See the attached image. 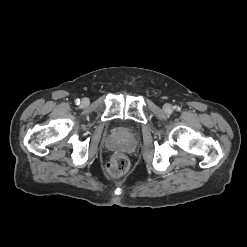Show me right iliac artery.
<instances>
[{
  "label": "right iliac artery",
  "instance_id": "1",
  "mask_svg": "<svg viewBox=\"0 0 247 247\" xmlns=\"http://www.w3.org/2000/svg\"><path fill=\"white\" fill-rule=\"evenodd\" d=\"M75 104L79 105L80 104V99L75 100Z\"/></svg>",
  "mask_w": 247,
  "mask_h": 247
}]
</instances>
